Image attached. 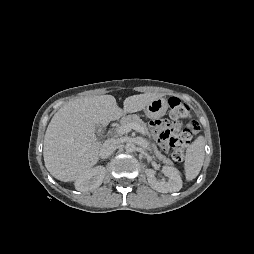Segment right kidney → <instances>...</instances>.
Here are the masks:
<instances>
[{"label":"right kidney","mask_w":254,"mask_h":254,"mask_svg":"<svg viewBox=\"0 0 254 254\" xmlns=\"http://www.w3.org/2000/svg\"><path fill=\"white\" fill-rule=\"evenodd\" d=\"M105 177V167L97 166L86 171L75 181V188L81 192H88L98 188Z\"/></svg>","instance_id":"obj_1"}]
</instances>
